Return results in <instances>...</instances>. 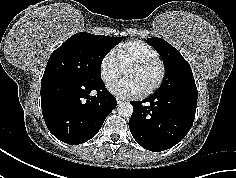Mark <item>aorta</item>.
Listing matches in <instances>:
<instances>
[{"label":"aorta","instance_id":"obj_1","mask_svg":"<svg viewBox=\"0 0 236 178\" xmlns=\"http://www.w3.org/2000/svg\"><path fill=\"white\" fill-rule=\"evenodd\" d=\"M117 112L120 116L129 118L133 114V106L130 103L122 102L118 105Z\"/></svg>","mask_w":236,"mask_h":178}]
</instances>
